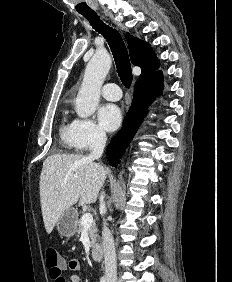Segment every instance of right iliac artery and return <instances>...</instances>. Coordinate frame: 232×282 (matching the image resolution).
I'll list each match as a JSON object with an SVG mask.
<instances>
[{"label":"right iliac artery","instance_id":"1","mask_svg":"<svg viewBox=\"0 0 232 282\" xmlns=\"http://www.w3.org/2000/svg\"><path fill=\"white\" fill-rule=\"evenodd\" d=\"M100 282H106L105 277H102V278L100 279Z\"/></svg>","mask_w":232,"mask_h":282}]
</instances>
